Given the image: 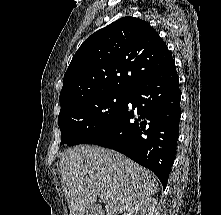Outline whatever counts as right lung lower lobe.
Masks as SVG:
<instances>
[{"instance_id": "right-lung-lower-lobe-1", "label": "right lung lower lobe", "mask_w": 221, "mask_h": 215, "mask_svg": "<svg viewBox=\"0 0 221 215\" xmlns=\"http://www.w3.org/2000/svg\"><path fill=\"white\" fill-rule=\"evenodd\" d=\"M126 98L124 110L113 127L89 144L125 154L152 170L165 188L175 158L181 112L174 60L134 86Z\"/></svg>"}]
</instances>
